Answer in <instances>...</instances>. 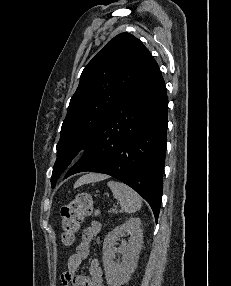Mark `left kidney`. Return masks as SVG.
<instances>
[{
	"instance_id": "5707ae66",
	"label": "left kidney",
	"mask_w": 231,
	"mask_h": 286,
	"mask_svg": "<svg viewBox=\"0 0 231 286\" xmlns=\"http://www.w3.org/2000/svg\"><path fill=\"white\" fill-rule=\"evenodd\" d=\"M141 224L140 218H131L106 235L103 243V266L108 286L125 284L135 271L143 244ZM126 234L130 235L128 243L122 241L120 247L116 248L117 240ZM117 253L122 254L121 263L115 261Z\"/></svg>"
}]
</instances>
